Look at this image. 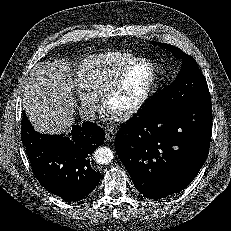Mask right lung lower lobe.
<instances>
[{"label":"right lung lower lobe","instance_id":"98d812e1","mask_svg":"<svg viewBox=\"0 0 231 231\" xmlns=\"http://www.w3.org/2000/svg\"><path fill=\"white\" fill-rule=\"evenodd\" d=\"M104 135L91 122L73 125L66 136L40 134L23 111L21 139L33 172L46 190L67 201L83 199L98 185L101 173L92 169L90 156Z\"/></svg>","mask_w":231,"mask_h":231}]
</instances>
